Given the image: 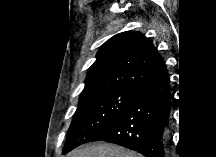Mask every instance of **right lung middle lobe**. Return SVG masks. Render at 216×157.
I'll return each instance as SVG.
<instances>
[{
	"label": "right lung middle lobe",
	"instance_id": "obj_1",
	"mask_svg": "<svg viewBox=\"0 0 216 157\" xmlns=\"http://www.w3.org/2000/svg\"><path fill=\"white\" fill-rule=\"evenodd\" d=\"M132 90L116 88L80 99L67 134L63 154L93 141L109 128L124 111Z\"/></svg>",
	"mask_w": 216,
	"mask_h": 157
}]
</instances>
